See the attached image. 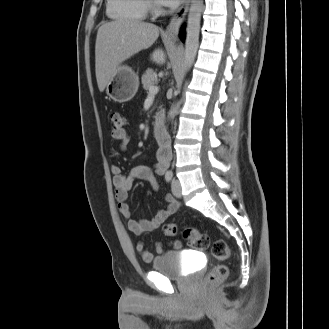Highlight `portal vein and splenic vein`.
<instances>
[{
  "instance_id": "1",
  "label": "portal vein and splenic vein",
  "mask_w": 329,
  "mask_h": 329,
  "mask_svg": "<svg viewBox=\"0 0 329 329\" xmlns=\"http://www.w3.org/2000/svg\"><path fill=\"white\" fill-rule=\"evenodd\" d=\"M159 91L158 86L151 85L149 88V95H156Z\"/></svg>"
}]
</instances>
